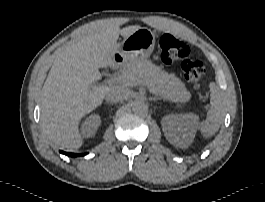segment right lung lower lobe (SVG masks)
<instances>
[{
    "label": "right lung lower lobe",
    "mask_w": 265,
    "mask_h": 202,
    "mask_svg": "<svg viewBox=\"0 0 265 202\" xmlns=\"http://www.w3.org/2000/svg\"><path fill=\"white\" fill-rule=\"evenodd\" d=\"M62 154H65L69 157H78V156H82L83 154H74V153H67V152H63V151H60Z\"/></svg>",
    "instance_id": "obj_1"
}]
</instances>
